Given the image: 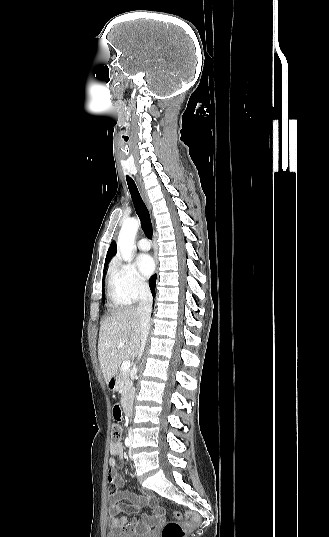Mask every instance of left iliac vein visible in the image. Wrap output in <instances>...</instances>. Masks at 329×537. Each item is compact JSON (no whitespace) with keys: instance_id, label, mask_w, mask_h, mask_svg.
Segmentation results:
<instances>
[{"instance_id":"obj_1","label":"left iliac vein","mask_w":329,"mask_h":537,"mask_svg":"<svg viewBox=\"0 0 329 537\" xmlns=\"http://www.w3.org/2000/svg\"><path fill=\"white\" fill-rule=\"evenodd\" d=\"M130 439H131V441H132V435L130 436Z\"/></svg>"}]
</instances>
